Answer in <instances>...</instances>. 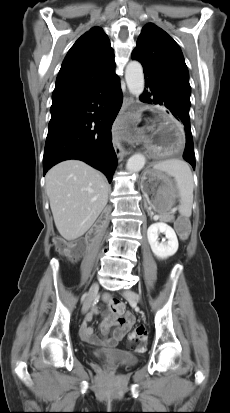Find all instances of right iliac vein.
Instances as JSON below:
<instances>
[{
    "label": "right iliac vein",
    "mask_w": 230,
    "mask_h": 413,
    "mask_svg": "<svg viewBox=\"0 0 230 413\" xmlns=\"http://www.w3.org/2000/svg\"><path fill=\"white\" fill-rule=\"evenodd\" d=\"M99 289V285L98 283H93L89 289L88 295L84 301L83 307H82V312L86 313L92 303V301L94 300L97 292Z\"/></svg>",
    "instance_id": "right-iliac-vein-1"
}]
</instances>
